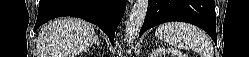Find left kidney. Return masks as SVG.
I'll return each mask as SVG.
<instances>
[{
	"label": "left kidney",
	"mask_w": 249,
	"mask_h": 57,
	"mask_svg": "<svg viewBox=\"0 0 249 57\" xmlns=\"http://www.w3.org/2000/svg\"><path fill=\"white\" fill-rule=\"evenodd\" d=\"M151 57H186V55L178 49L159 47L152 52Z\"/></svg>",
	"instance_id": "1"
}]
</instances>
